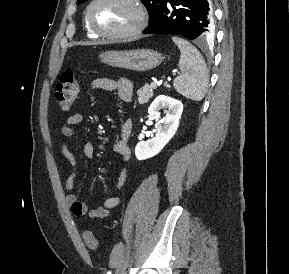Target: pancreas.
I'll return each mask as SVG.
<instances>
[{"mask_svg":"<svg viewBox=\"0 0 289 274\" xmlns=\"http://www.w3.org/2000/svg\"><path fill=\"white\" fill-rule=\"evenodd\" d=\"M138 101L140 104L147 103L153 96V87L149 84H145L140 90H138Z\"/></svg>","mask_w":289,"mask_h":274,"instance_id":"obj_1","label":"pancreas"}]
</instances>
